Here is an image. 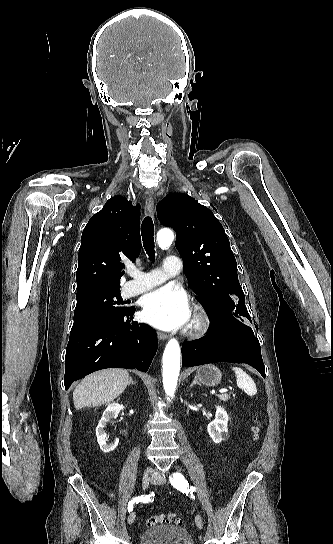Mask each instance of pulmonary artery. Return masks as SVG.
Wrapping results in <instances>:
<instances>
[{
  "instance_id": "e3ab8cb5",
  "label": "pulmonary artery",
  "mask_w": 333,
  "mask_h": 544,
  "mask_svg": "<svg viewBox=\"0 0 333 544\" xmlns=\"http://www.w3.org/2000/svg\"><path fill=\"white\" fill-rule=\"evenodd\" d=\"M181 270V260L177 256H168L164 259L160 269H154L150 272H133L130 281L125 288L127 296H135L150 290L168 278L177 275Z\"/></svg>"
}]
</instances>
